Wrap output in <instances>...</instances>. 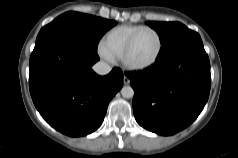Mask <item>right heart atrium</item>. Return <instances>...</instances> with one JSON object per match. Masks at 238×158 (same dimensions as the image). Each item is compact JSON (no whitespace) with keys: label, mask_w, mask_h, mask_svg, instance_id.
I'll list each match as a JSON object with an SVG mask.
<instances>
[{"label":"right heart atrium","mask_w":238,"mask_h":158,"mask_svg":"<svg viewBox=\"0 0 238 158\" xmlns=\"http://www.w3.org/2000/svg\"><path fill=\"white\" fill-rule=\"evenodd\" d=\"M99 54L101 55V57H103L105 60L107 61H113L114 57L112 55H110L106 50H104V48L100 45L99 46Z\"/></svg>","instance_id":"obj_1"}]
</instances>
